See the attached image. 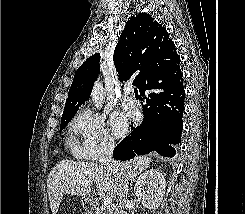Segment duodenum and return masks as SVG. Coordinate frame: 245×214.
<instances>
[{
  "instance_id": "1",
  "label": "duodenum",
  "mask_w": 245,
  "mask_h": 214,
  "mask_svg": "<svg viewBox=\"0 0 245 214\" xmlns=\"http://www.w3.org/2000/svg\"><path fill=\"white\" fill-rule=\"evenodd\" d=\"M85 207L88 212H90L91 214H94V212L96 211V202L91 199H87L85 200Z\"/></svg>"
}]
</instances>
